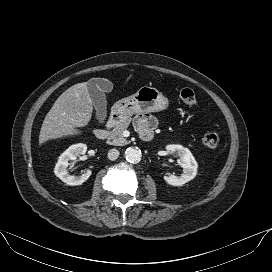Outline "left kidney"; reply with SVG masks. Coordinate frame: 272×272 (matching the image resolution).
Listing matches in <instances>:
<instances>
[{"instance_id":"left-kidney-1","label":"left kidney","mask_w":272,"mask_h":272,"mask_svg":"<svg viewBox=\"0 0 272 272\" xmlns=\"http://www.w3.org/2000/svg\"><path fill=\"white\" fill-rule=\"evenodd\" d=\"M166 149L179 156L178 163L183 168L180 176H164V180L172 186H182L192 180L197 174L198 164L188 148L178 144L167 145Z\"/></svg>"}]
</instances>
